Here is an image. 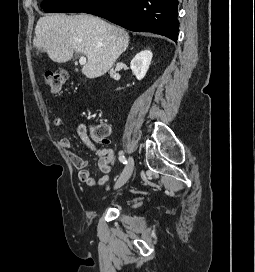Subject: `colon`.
Here are the masks:
<instances>
[{
  "label": "colon",
  "instance_id": "obj_1",
  "mask_svg": "<svg viewBox=\"0 0 255 272\" xmlns=\"http://www.w3.org/2000/svg\"><path fill=\"white\" fill-rule=\"evenodd\" d=\"M67 79V73L63 70H49L44 75L45 84L54 95H58ZM109 127L106 125H97L92 129V136L95 140L107 143Z\"/></svg>",
  "mask_w": 255,
  "mask_h": 272
}]
</instances>
